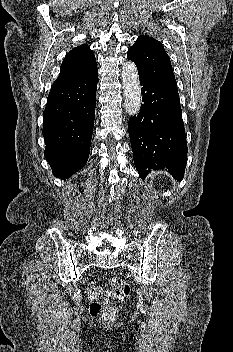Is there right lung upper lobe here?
I'll use <instances>...</instances> for the list:
<instances>
[{
	"mask_svg": "<svg viewBox=\"0 0 233 352\" xmlns=\"http://www.w3.org/2000/svg\"><path fill=\"white\" fill-rule=\"evenodd\" d=\"M97 68L96 59L87 44L73 48L63 59L60 74L53 84L79 79Z\"/></svg>",
	"mask_w": 233,
	"mask_h": 352,
	"instance_id": "right-lung-upper-lobe-1",
	"label": "right lung upper lobe"
}]
</instances>
